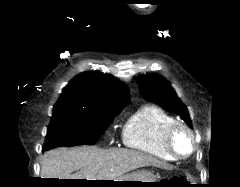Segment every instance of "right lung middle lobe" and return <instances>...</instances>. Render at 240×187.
Masks as SVG:
<instances>
[{
  "instance_id": "dd1d6c3e",
  "label": "right lung middle lobe",
  "mask_w": 240,
  "mask_h": 187,
  "mask_svg": "<svg viewBox=\"0 0 240 187\" xmlns=\"http://www.w3.org/2000/svg\"><path fill=\"white\" fill-rule=\"evenodd\" d=\"M118 112L54 108L43 151L58 146L93 145Z\"/></svg>"
}]
</instances>
